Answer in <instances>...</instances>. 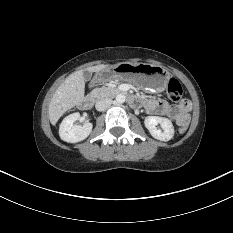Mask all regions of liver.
<instances>
[{
    "instance_id": "liver-1",
    "label": "liver",
    "mask_w": 233,
    "mask_h": 233,
    "mask_svg": "<svg viewBox=\"0 0 233 233\" xmlns=\"http://www.w3.org/2000/svg\"><path fill=\"white\" fill-rule=\"evenodd\" d=\"M106 67H109V65L101 64L88 67L86 70L98 72ZM83 71L79 70L70 74L52 96L48 107L49 119L52 125H55L65 112L83 101L85 93Z\"/></svg>"
}]
</instances>
